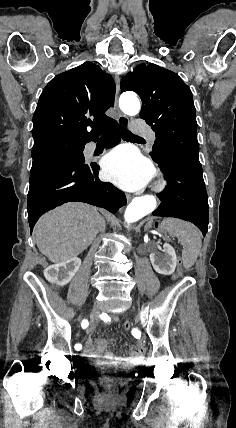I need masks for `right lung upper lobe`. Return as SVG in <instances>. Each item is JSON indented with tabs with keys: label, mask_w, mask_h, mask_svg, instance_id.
Segmentation results:
<instances>
[{
	"label": "right lung upper lobe",
	"mask_w": 236,
	"mask_h": 428,
	"mask_svg": "<svg viewBox=\"0 0 236 428\" xmlns=\"http://www.w3.org/2000/svg\"><path fill=\"white\" fill-rule=\"evenodd\" d=\"M115 89L112 77L91 62L54 77L42 91L33 115L34 145L96 137L97 130L116 123L105 115L114 104ZM89 116L94 117V122ZM89 125L95 129L88 132Z\"/></svg>",
	"instance_id": "right-lung-upper-lobe-1"
}]
</instances>
